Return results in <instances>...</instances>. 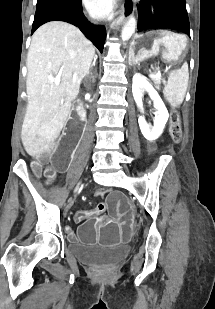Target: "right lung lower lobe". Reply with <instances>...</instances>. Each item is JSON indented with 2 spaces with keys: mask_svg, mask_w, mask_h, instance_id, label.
I'll list each match as a JSON object with an SVG mask.
<instances>
[{
  "mask_svg": "<svg viewBox=\"0 0 215 309\" xmlns=\"http://www.w3.org/2000/svg\"><path fill=\"white\" fill-rule=\"evenodd\" d=\"M54 20L65 21L79 27L80 30L95 44L99 51H103L106 30L104 27L90 24L85 18L82 8L76 11H51L35 16L32 26V33L42 24Z\"/></svg>",
  "mask_w": 215,
  "mask_h": 309,
  "instance_id": "98d812e1",
  "label": "right lung lower lobe"
}]
</instances>
